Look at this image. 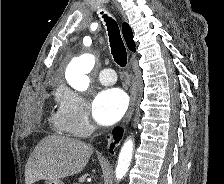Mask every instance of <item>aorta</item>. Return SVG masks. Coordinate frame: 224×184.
Returning <instances> with one entry per match:
<instances>
[{
	"mask_svg": "<svg viewBox=\"0 0 224 184\" xmlns=\"http://www.w3.org/2000/svg\"><path fill=\"white\" fill-rule=\"evenodd\" d=\"M95 65V56L92 54H83L74 58L67 66L65 78L69 85L78 91H85L89 86L88 73L91 72ZM134 143L128 139L121 148L118 164L115 170L116 179L121 180L127 173L132 156Z\"/></svg>",
	"mask_w": 224,
	"mask_h": 184,
	"instance_id": "obj_1",
	"label": "aorta"
}]
</instances>
